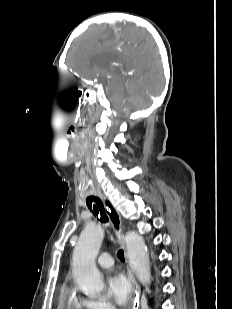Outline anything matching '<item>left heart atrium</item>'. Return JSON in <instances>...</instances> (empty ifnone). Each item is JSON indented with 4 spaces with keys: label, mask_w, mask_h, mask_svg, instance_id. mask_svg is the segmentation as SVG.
<instances>
[{
    "label": "left heart atrium",
    "mask_w": 232,
    "mask_h": 309,
    "mask_svg": "<svg viewBox=\"0 0 232 309\" xmlns=\"http://www.w3.org/2000/svg\"><path fill=\"white\" fill-rule=\"evenodd\" d=\"M107 283L110 295L116 304L124 307L132 301V283L123 272L119 270L112 272L107 279Z\"/></svg>",
    "instance_id": "obj_1"
}]
</instances>
